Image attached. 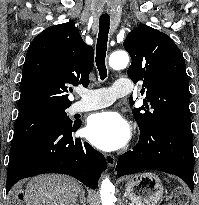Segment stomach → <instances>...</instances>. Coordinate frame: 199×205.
<instances>
[{
  "instance_id": "0dacf381",
  "label": "stomach",
  "mask_w": 199,
  "mask_h": 205,
  "mask_svg": "<svg viewBox=\"0 0 199 205\" xmlns=\"http://www.w3.org/2000/svg\"><path fill=\"white\" fill-rule=\"evenodd\" d=\"M163 191L160 178L152 172L126 178L125 193L135 205H156L161 200Z\"/></svg>"
}]
</instances>
